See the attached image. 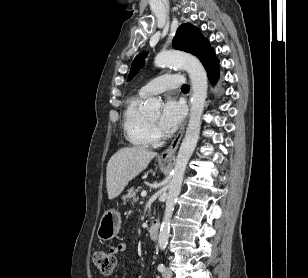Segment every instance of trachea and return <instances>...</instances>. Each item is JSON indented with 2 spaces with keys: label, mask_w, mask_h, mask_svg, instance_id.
I'll use <instances>...</instances> for the list:
<instances>
[{
  "label": "trachea",
  "mask_w": 308,
  "mask_h": 278,
  "mask_svg": "<svg viewBox=\"0 0 308 278\" xmlns=\"http://www.w3.org/2000/svg\"><path fill=\"white\" fill-rule=\"evenodd\" d=\"M182 90H189V85L187 84H184L182 87H181Z\"/></svg>",
  "instance_id": "trachea-1"
}]
</instances>
